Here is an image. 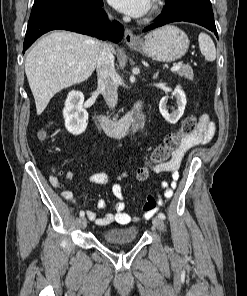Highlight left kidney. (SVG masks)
<instances>
[{
    "label": "left kidney",
    "instance_id": "obj_1",
    "mask_svg": "<svg viewBox=\"0 0 247 296\" xmlns=\"http://www.w3.org/2000/svg\"><path fill=\"white\" fill-rule=\"evenodd\" d=\"M177 101L178 108L173 110L172 113L168 112V97H163L159 103V110L164 119L170 124H175L184 114V110L187 104L186 95L180 86H177L173 93Z\"/></svg>",
    "mask_w": 247,
    "mask_h": 296
}]
</instances>
